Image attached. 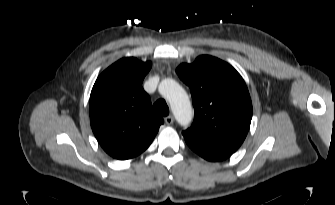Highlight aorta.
<instances>
[{
    "label": "aorta",
    "instance_id": "obj_1",
    "mask_svg": "<svg viewBox=\"0 0 335 205\" xmlns=\"http://www.w3.org/2000/svg\"><path fill=\"white\" fill-rule=\"evenodd\" d=\"M159 92L168 100L177 122L182 126L189 125L193 110L186 91L173 79H164L159 85Z\"/></svg>",
    "mask_w": 335,
    "mask_h": 205
}]
</instances>
